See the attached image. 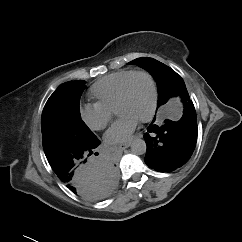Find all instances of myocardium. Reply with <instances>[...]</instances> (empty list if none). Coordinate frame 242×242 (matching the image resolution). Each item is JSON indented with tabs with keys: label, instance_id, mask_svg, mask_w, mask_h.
Instances as JSON below:
<instances>
[{
	"label": "myocardium",
	"instance_id": "obj_1",
	"mask_svg": "<svg viewBox=\"0 0 242 242\" xmlns=\"http://www.w3.org/2000/svg\"><path fill=\"white\" fill-rule=\"evenodd\" d=\"M138 75H142L145 76L149 82H150V86H151V105H150V109L148 111V113L142 117L140 119V122H149L156 111L157 108V101H158V89H157V84L156 81L153 77V75L151 73H149L148 71H144V70H138V71H134L132 72L123 82L119 95H118V99H117V103H116V109L115 111L117 112L118 108L121 106V104L125 101L127 93H128V88H129V84L130 81Z\"/></svg>",
	"mask_w": 242,
	"mask_h": 242
}]
</instances>
